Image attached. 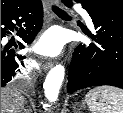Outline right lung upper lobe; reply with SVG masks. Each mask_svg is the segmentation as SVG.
Here are the masks:
<instances>
[{
	"mask_svg": "<svg viewBox=\"0 0 123 113\" xmlns=\"http://www.w3.org/2000/svg\"><path fill=\"white\" fill-rule=\"evenodd\" d=\"M29 0H1V12L8 11L14 7H19Z\"/></svg>",
	"mask_w": 123,
	"mask_h": 113,
	"instance_id": "obj_1",
	"label": "right lung upper lobe"
}]
</instances>
